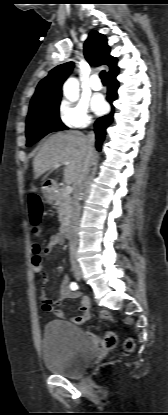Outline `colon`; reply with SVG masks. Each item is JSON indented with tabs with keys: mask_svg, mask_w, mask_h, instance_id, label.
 Here are the masks:
<instances>
[{
	"mask_svg": "<svg viewBox=\"0 0 168 415\" xmlns=\"http://www.w3.org/2000/svg\"><path fill=\"white\" fill-rule=\"evenodd\" d=\"M28 207H29V217L31 224L37 228L41 220V201L37 195H31L28 200ZM39 251V247L35 246V252ZM44 266V257L42 255H33L32 256V272L38 278H43L45 271L43 269ZM100 320H113V316L106 311H102L99 314ZM93 343L95 344L96 348L101 352H106L111 350L116 343V337L113 332L108 331L104 337H97L93 334L90 335ZM124 347L127 351H132L135 347L134 340L129 338L126 339L124 342Z\"/></svg>",
	"mask_w": 168,
	"mask_h": 415,
	"instance_id": "1",
	"label": "colon"
}]
</instances>
